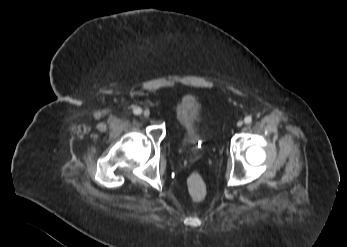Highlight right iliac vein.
I'll use <instances>...</instances> for the list:
<instances>
[{
  "label": "right iliac vein",
  "mask_w": 347,
  "mask_h": 247,
  "mask_svg": "<svg viewBox=\"0 0 347 247\" xmlns=\"http://www.w3.org/2000/svg\"><path fill=\"white\" fill-rule=\"evenodd\" d=\"M149 115H150V111L149 110L146 109V110L143 111V116L144 117H149Z\"/></svg>",
  "instance_id": "63e3f726"
}]
</instances>
